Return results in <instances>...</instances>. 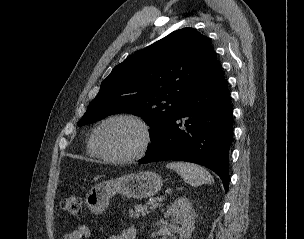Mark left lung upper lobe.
<instances>
[{
	"mask_svg": "<svg viewBox=\"0 0 304 239\" xmlns=\"http://www.w3.org/2000/svg\"><path fill=\"white\" fill-rule=\"evenodd\" d=\"M216 60L204 35L193 28L176 30L115 66L77 125L132 113L150 125L155 142Z\"/></svg>",
	"mask_w": 304,
	"mask_h": 239,
	"instance_id": "obj_1",
	"label": "left lung upper lobe"
}]
</instances>
